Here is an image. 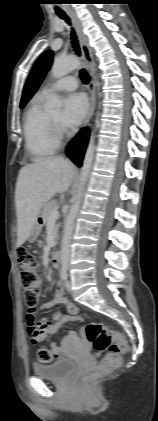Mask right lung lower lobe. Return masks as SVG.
I'll use <instances>...</instances> for the list:
<instances>
[{
  "label": "right lung lower lobe",
  "mask_w": 158,
  "mask_h": 421,
  "mask_svg": "<svg viewBox=\"0 0 158 421\" xmlns=\"http://www.w3.org/2000/svg\"><path fill=\"white\" fill-rule=\"evenodd\" d=\"M89 131L82 129L76 137L70 142L66 153L67 156L77 165H82L83 156L87 146Z\"/></svg>",
  "instance_id": "right-lung-lower-lobe-1"
}]
</instances>
